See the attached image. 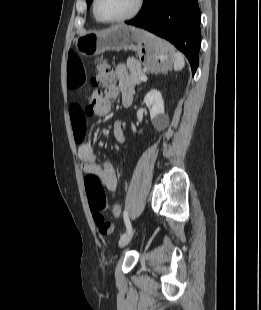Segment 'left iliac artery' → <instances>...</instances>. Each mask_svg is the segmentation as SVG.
Segmentation results:
<instances>
[{"label": "left iliac artery", "mask_w": 261, "mask_h": 310, "mask_svg": "<svg viewBox=\"0 0 261 310\" xmlns=\"http://www.w3.org/2000/svg\"><path fill=\"white\" fill-rule=\"evenodd\" d=\"M123 216H124V222L126 225V229H127V231H130L131 230V223H130V219H129L127 210L124 211Z\"/></svg>", "instance_id": "obj_1"}]
</instances>
